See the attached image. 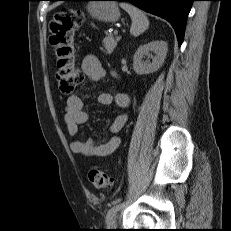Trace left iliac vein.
Listing matches in <instances>:
<instances>
[{"mask_svg":"<svg viewBox=\"0 0 231 231\" xmlns=\"http://www.w3.org/2000/svg\"><path fill=\"white\" fill-rule=\"evenodd\" d=\"M116 223H117V215L114 214L110 220L108 221V227L109 228H115L116 227Z\"/></svg>","mask_w":231,"mask_h":231,"instance_id":"1","label":"left iliac vein"}]
</instances>
